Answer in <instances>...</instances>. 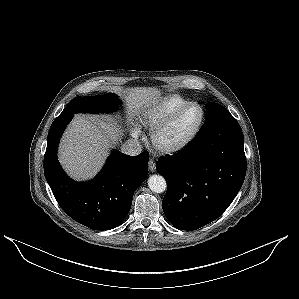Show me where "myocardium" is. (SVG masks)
<instances>
[{"label":"myocardium","mask_w":299,"mask_h":299,"mask_svg":"<svg viewBox=\"0 0 299 299\" xmlns=\"http://www.w3.org/2000/svg\"><path fill=\"white\" fill-rule=\"evenodd\" d=\"M190 106H197L201 110V119L195 130L180 144L170 147H163L158 143V136L166 130L174 121L175 119L188 107ZM206 118V112L203 107L198 102H187L184 105L180 106L178 109H176L173 113H171L167 118L156 124L151 128L150 135H149V142L151 147L158 153L163 155H173L176 153H179L183 150H185L187 147H189L197 138L199 133L202 130V127L205 123Z\"/></svg>","instance_id":"f54148a6"}]
</instances>
